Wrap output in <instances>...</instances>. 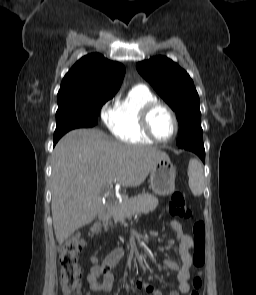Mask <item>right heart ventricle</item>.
Wrapping results in <instances>:
<instances>
[{"mask_svg":"<svg viewBox=\"0 0 256 295\" xmlns=\"http://www.w3.org/2000/svg\"><path fill=\"white\" fill-rule=\"evenodd\" d=\"M157 101L151 90L142 85L134 86L108 111L106 125L120 141L128 144L151 145L154 142L141 127V112L149 103Z\"/></svg>","mask_w":256,"mask_h":295,"instance_id":"1","label":"right heart ventricle"}]
</instances>
